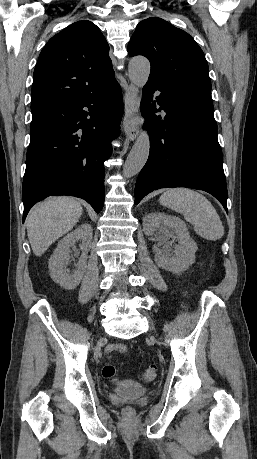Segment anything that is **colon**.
Masks as SVG:
<instances>
[{"label":"colon","instance_id":"1","mask_svg":"<svg viewBox=\"0 0 257 459\" xmlns=\"http://www.w3.org/2000/svg\"><path fill=\"white\" fill-rule=\"evenodd\" d=\"M102 376L105 379H110L113 382H117L116 379V368L113 364L108 363L105 364L102 368ZM157 377V368L155 365H150L146 369L143 370L141 373V379L145 382H152L156 379ZM124 413L127 416H131L133 414L132 410L130 408H126Z\"/></svg>","mask_w":257,"mask_h":459}]
</instances>
